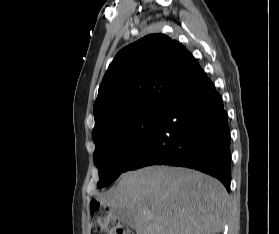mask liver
Wrapping results in <instances>:
<instances>
[{
	"instance_id": "obj_1",
	"label": "liver",
	"mask_w": 279,
	"mask_h": 234,
	"mask_svg": "<svg viewBox=\"0 0 279 234\" xmlns=\"http://www.w3.org/2000/svg\"><path fill=\"white\" fill-rule=\"evenodd\" d=\"M99 201L111 209H127L137 234H217L226 223L229 205L228 193L217 179L167 166L123 173Z\"/></svg>"
}]
</instances>
